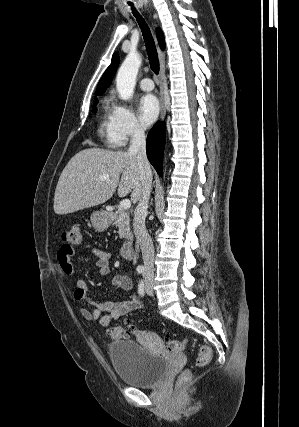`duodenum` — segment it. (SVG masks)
Here are the masks:
<instances>
[{
    "instance_id": "obj_1",
    "label": "duodenum",
    "mask_w": 299,
    "mask_h": 427,
    "mask_svg": "<svg viewBox=\"0 0 299 427\" xmlns=\"http://www.w3.org/2000/svg\"><path fill=\"white\" fill-rule=\"evenodd\" d=\"M121 256L130 259L134 254V242L131 240L126 241L121 247Z\"/></svg>"
}]
</instances>
